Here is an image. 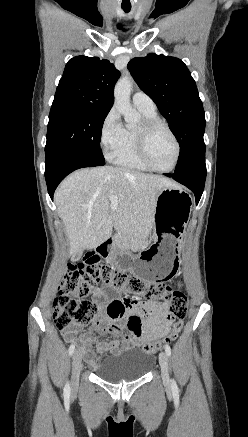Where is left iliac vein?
<instances>
[{
	"label": "left iliac vein",
	"instance_id": "1",
	"mask_svg": "<svg viewBox=\"0 0 248 437\" xmlns=\"http://www.w3.org/2000/svg\"><path fill=\"white\" fill-rule=\"evenodd\" d=\"M159 364L161 367L162 380L165 385H169V369H168V356L165 352H160L159 354Z\"/></svg>",
	"mask_w": 248,
	"mask_h": 437
}]
</instances>
